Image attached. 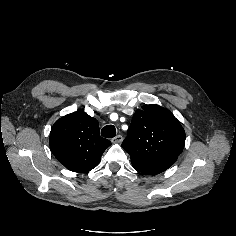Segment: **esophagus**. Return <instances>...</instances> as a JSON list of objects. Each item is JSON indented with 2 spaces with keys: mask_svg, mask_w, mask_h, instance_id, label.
I'll return each mask as SVG.
<instances>
[{
  "mask_svg": "<svg viewBox=\"0 0 236 236\" xmlns=\"http://www.w3.org/2000/svg\"><path fill=\"white\" fill-rule=\"evenodd\" d=\"M122 141H123V137L121 135H117L116 137L112 139V143L120 144L122 143Z\"/></svg>",
  "mask_w": 236,
  "mask_h": 236,
  "instance_id": "obj_1",
  "label": "esophagus"
}]
</instances>
